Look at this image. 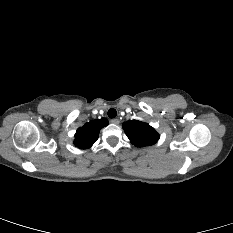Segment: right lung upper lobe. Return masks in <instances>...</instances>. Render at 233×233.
Returning <instances> with one entry per match:
<instances>
[{
	"label": "right lung upper lobe",
	"mask_w": 233,
	"mask_h": 233,
	"mask_svg": "<svg viewBox=\"0 0 233 233\" xmlns=\"http://www.w3.org/2000/svg\"><path fill=\"white\" fill-rule=\"evenodd\" d=\"M108 125V120L105 118L92 120L84 126L77 129L75 134L74 144L80 149L90 148L98 139L100 130Z\"/></svg>",
	"instance_id": "right-lung-upper-lobe-1"
}]
</instances>
